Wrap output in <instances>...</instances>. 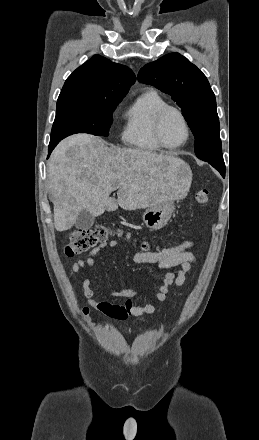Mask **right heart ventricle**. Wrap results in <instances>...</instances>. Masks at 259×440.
<instances>
[{"instance_id": "right-heart-ventricle-1", "label": "right heart ventricle", "mask_w": 259, "mask_h": 440, "mask_svg": "<svg viewBox=\"0 0 259 440\" xmlns=\"http://www.w3.org/2000/svg\"><path fill=\"white\" fill-rule=\"evenodd\" d=\"M167 102L153 90L143 92L125 110L121 131L123 142L144 152H159L153 127L158 112Z\"/></svg>"}]
</instances>
